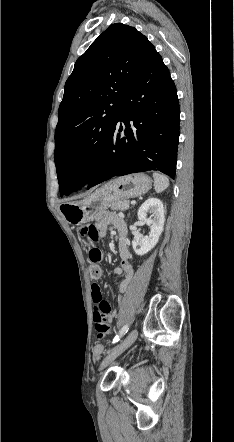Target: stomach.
<instances>
[{"label": "stomach", "mask_w": 234, "mask_h": 442, "mask_svg": "<svg viewBox=\"0 0 234 442\" xmlns=\"http://www.w3.org/2000/svg\"><path fill=\"white\" fill-rule=\"evenodd\" d=\"M151 187L152 180L147 175L131 174L108 182L82 200L66 202L60 209L68 223L80 225L94 220L111 203L141 196Z\"/></svg>", "instance_id": "0dacf381"}]
</instances>
